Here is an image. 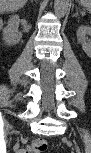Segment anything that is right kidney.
I'll return each instance as SVG.
<instances>
[{"instance_id":"1","label":"right kidney","mask_w":91,"mask_h":153,"mask_svg":"<svg viewBox=\"0 0 91 153\" xmlns=\"http://www.w3.org/2000/svg\"><path fill=\"white\" fill-rule=\"evenodd\" d=\"M19 23L20 18L18 15L10 17L7 27L3 29V40L6 45H15L22 38V34L18 31Z\"/></svg>"}]
</instances>
